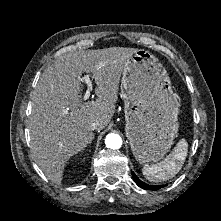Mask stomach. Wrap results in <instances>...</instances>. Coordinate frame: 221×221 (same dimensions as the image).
Segmentation results:
<instances>
[{
  "label": "stomach",
  "mask_w": 221,
  "mask_h": 221,
  "mask_svg": "<svg viewBox=\"0 0 221 221\" xmlns=\"http://www.w3.org/2000/svg\"><path fill=\"white\" fill-rule=\"evenodd\" d=\"M125 133L141 164L164 158L178 132L179 102L170 77L149 51L138 49L122 72Z\"/></svg>",
  "instance_id": "obj_1"
}]
</instances>
